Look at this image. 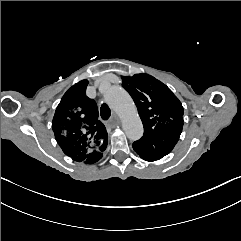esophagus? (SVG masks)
Segmentation results:
<instances>
[{
    "mask_svg": "<svg viewBox=\"0 0 241 241\" xmlns=\"http://www.w3.org/2000/svg\"><path fill=\"white\" fill-rule=\"evenodd\" d=\"M112 118H113V122L110 123V126L113 128L116 125V123H118V118L115 113L113 114Z\"/></svg>",
    "mask_w": 241,
    "mask_h": 241,
    "instance_id": "34e87169",
    "label": "esophagus"
}]
</instances>
